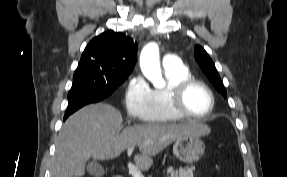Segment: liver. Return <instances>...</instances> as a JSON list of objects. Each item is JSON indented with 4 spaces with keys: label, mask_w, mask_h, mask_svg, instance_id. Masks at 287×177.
I'll return each instance as SVG.
<instances>
[{
    "label": "liver",
    "mask_w": 287,
    "mask_h": 177,
    "mask_svg": "<svg viewBox=\"0 0 287 177\" xmlns=\"http://www.w3.org/2000/svg\"><path fill=\"white\" fill-rule=\"evenodd\" d=\"M121 113L109 104L83 107L63 124L56 142L52 177H82L89 158H117L130 147L138 146L134 158L141 170H148L155 156L185 135H207L210 128L190 121L182 124H140L122 130ZM122 130V131H121Z\"/></svg>",
    "instance_id": "1"
}]
</instances>
